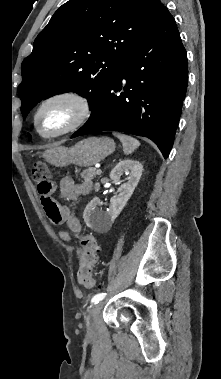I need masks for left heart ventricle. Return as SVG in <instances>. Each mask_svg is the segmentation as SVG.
<instances>
[{
  "label": "left heart ventricle",
  "mask_w": 221,
  "mask_h": 379,
  "mask_svg": "<svg viewBox=\"0 0 221 379\" xmlns=\"http://www.w3.org/2000/svg\"><path fill=\"white\" fill-rule=\"evenodd\" d=\"M72 114V108L68 104L53 103L42 112L39 120L40 128L45 133L57 131L70 121Z\"/></svg>",
  "instance_id": "obj_1"
}]
</instances>
